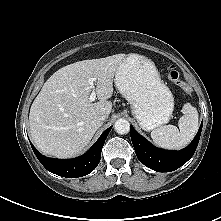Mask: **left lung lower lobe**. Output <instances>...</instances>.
<instances>
[{"label": "left lung lower lobe", "instance_id": "obj_1", "mask_svg": "<svg viewBox=\"0 0 221 221\" xmlns=\"http://www.w3.org/2000/svg\"><path fill=\"white\" fill-rule=\"evenodd\" d=\"M202 125L193 141L180 151H169L152 146L131 126V140L141 163L157 172H170L184 165L194 154L201 135Z\"/></svg>", "mask_w": 221, "mask_h": 221}]
</instances>
